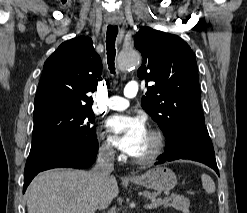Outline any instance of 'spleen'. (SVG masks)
<instances>
[{"mask_svg":"<svg viewBox=\"0 0 247 213\" xmlns=\"http://www.w3.org/2000/svg\"><path fill=\"white\" fill-rule=\"evenodd\" d=\"M201 179H202V184H203V188L205 189V191L208 194L214 193L215 192V184H214V181L212 180V178L210 176H208L207 174H202Z\"/></svg>","mask_w":247,"mask_h":213,"instance_id":"obj_1","label":"spleen"}]
</instances>
